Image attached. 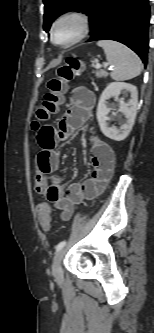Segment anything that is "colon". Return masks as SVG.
I'll use <instances>...</instances> for the list:
<instances>
[{
  "instance_id": "1",
  "label": "colon",
  "mask_w": 154,
  "mask_h": 333,
  "mask_svg": "<svg viewBox=\"0 0 154 333\" xmlns=\"http://www.w3.org/2000/svg\"><path fill=\"white\" fill-rule=\"evenodd\" d=\"M83 70V63L73 57L66 60L65 64L58 67L54 77L47 82V92L43 102L36 108L35 119L32 122L34 130L39 129L42 123L56 114L64 101L67 84ZM36 214L41 227L48 230L52 220V208L48 202L36 206Z\"/></svg>"
}]
</instances>
